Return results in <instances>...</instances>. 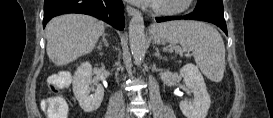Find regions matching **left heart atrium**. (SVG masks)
Listing matches in <instances>:
<instances>
[{
	"label": "left heart atrium",
	"instance_id": "left-heart-atrium-1",
	"mask_svg": "<svg viewBox=\"0 0 273 118\" xmlns=\"http://www.w3.org/2000/svg\"><path fill=\"white\" fill-rule=\"evenodd\" d=\"M133 1L138 4H145V5H155L160 2V0H133Z\"/></svg>",
	"mask_w": 273,
	"mask_h": 118
}]
</instances>
